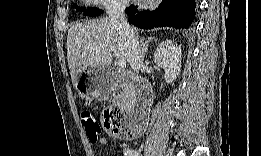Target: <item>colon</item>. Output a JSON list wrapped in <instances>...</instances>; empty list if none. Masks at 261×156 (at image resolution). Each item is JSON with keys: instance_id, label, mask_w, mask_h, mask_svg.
Masks as SVG:
<instances>
[{"instance_id": "1", "label": "colon", "mask_w": 261, "mask_h": 156, "mask_svg": "<svg viewBox=\"0 0 261 156\" xmlns=\"http://www.w3.org/2000/svg\"><path fill=\"white\" fill-rule=\"evenodd\" d=\"M80 120L91 143L97 142L101 128L109 135L119 138H134L143 133L142 127L128 125L123 112L114 106H108L104 109L102 125L88 111L81 113Z\"/></svg>"}]
</instances>
